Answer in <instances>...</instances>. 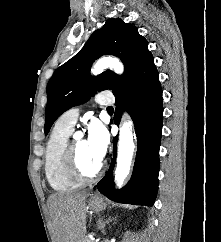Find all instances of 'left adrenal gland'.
Listing matches in <instances>:
<instances>
[{
    "instance_id": "obj_1",
    "label": "left adrenal gland",
    "mask_w": 221,
    "mask_h": 242,
    "mask_svg": "<svg viewBox=\"0 0 221 242\" xmlns=\"http://www.w3.org/2000/svg\"><path fill=\"white\" fill-rule=\"evenodd\" d=\"M112 220H114V218L111 219V217L108 218V220L106 221H103V220H100L99 223H100V227L102 228V233L105 235V231H104V227L106 224H108L109 222H111ZM106 242V241H105Z\"/></svg>"
}]
</instances>
